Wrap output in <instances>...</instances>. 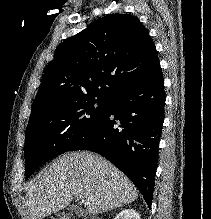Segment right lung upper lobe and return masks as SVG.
Returning <instances> with one entry per match:
<instances>
[{"instance_id":"right-lung-upper-lobe-1","label":"right lung upper lobe","mask_w":211,"mask_h":219,"mask_svg":"<svg viewBox=\"0 0 211 219\" xmlns=\"http://www.w3.org/2000/svg\"><path fill=\"white\" fill-rule=\"evenodd\" d=\"M137 17L109 14L64 40L48 64L30 119L80 99H111L159 62ZM29 119V120H30Z\"/></svg>"}]
</instances>
